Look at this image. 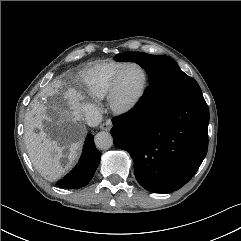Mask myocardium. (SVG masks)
<instances>
[{"label":"myocardium","mask_w":241,"mask_h":241,"mask_svg":"<svg viewBox=\"0 0 241 241\" xmlns=\"http://www.w3.org/2000/svg\"><path fill=\"white\" fill-rule=\"evenodd\" d=\"M129 67L139 68L144 74V81L140 90L134 97H132L128 101L122 102L117 97V84L121 74ZM148 84H149V73L144 66L136 62L125 63L112 78V81L110 83V87L107 93V101L112 111H114L116 114H119V115H126L133 112L144 99L148 88Z\"/></svg>","instance_id":"f54148a6"}]
</instances>
